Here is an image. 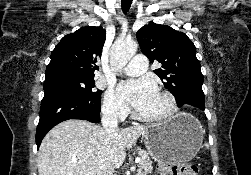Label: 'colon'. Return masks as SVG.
<instances>
[{
  "label": "colon",
  "instance_id": "obj_1",
  "mask_svg": "<svg viewBox=\"0 0 251 175\" xmlns=\"http://www.w3.org/2000/svg\"><path fill=\"white\" fill-rule=\"evenodd\" d=\"M159 175H198L197 165L189 162L161 163L158 166Z\"/></svg>",
  "mask_w": 251,
  "mask_h": 175
}]
</instances>
